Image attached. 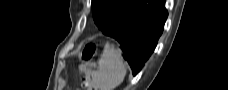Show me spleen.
<instances>
[{
    "label": "spleen",
    "instance_id": "spleen-1",
    "mask_svg": "<svg viewBox=\"0 0 228 90\" xmlns=\"http://www.w3.org/2000/svg\"><path fill=\"white\" fill-rule=\"evenodd\" d=\"M97 64V69L91 70L90 74L99 90H114L123 82L127 70L119 49L106 45Z\"/></svg>",
    "mask_w": 228,
    "mask_h": 90
}]
</instances>
